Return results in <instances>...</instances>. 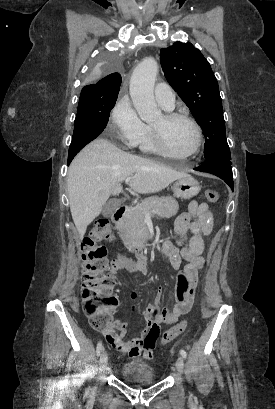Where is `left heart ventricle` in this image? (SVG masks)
<instances>
[{"label":"left heart ventricle","instance_id":"b2bd125f","mask_svg":"<svg viewBox=\"0 0 275 409\" xmlns=\"http://www.w3.org/2000/svg\"><path fill=\"white\" fill-rule=\"evenodd\" d=\"M162 123L160 117L154 124L158 126ZM167 141L170 148L179 154L188 153L195 143V133L192 126L183 120L173 122L167 129Z\"/></svg>","mask_w":275,"mask_h":409}]
</instances>
